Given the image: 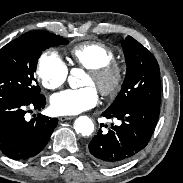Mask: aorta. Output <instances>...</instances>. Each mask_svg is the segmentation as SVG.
Listing matches in <instances>:
<instances>
[{"label":"aorta","mask_w":183,"mask_h":183,"mask_svg":"<svg viewBox=\"0 0 183 183\" xmlns=\"http://www.w3.org/2000/svg\"><path fill=\"white\" fill-rule=\"evenodd\" d=\"M83 75L84 71L82 69H72L68 77L70 87L73 89L80 87V78ZM74 128L82 136H90L94 131V124L88 116H80L75 120Z\"/></svg>","instance_id":"1"}]
</instances>
